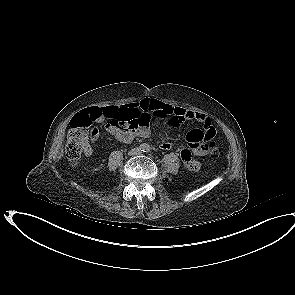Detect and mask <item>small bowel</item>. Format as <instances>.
<instances>
[{"label":"small bowel","mask_w":295,"mask_h":295,"mask_svg":"<svg viewBox=\"0 0 295 295\" xmlns=\"http://www.w3.org/2000/svg\"><path fill=\"white\" fill-rule=\"evenodd\" d=\"M107 108L113 109L114 119L106 122L105 129L116 140L122 143H130L137 137H149L151 134L149 125L151 115L166 119L168 124L172 127H177L182 123L193 120L200 122L203 125V128L190 130L186 135L188 148H182L180 150V156L183 163L191 169H197L200 166L196 157L207 154L208 145L206 142L213 139L216 134L211 119L205 113L177 107L157 99L144 98L139 102ZM103 109L104 108L100 107H92L86 110L85 114L92 121L102 123L105 121V117L102 114ZM124 119L137 120L139 122L138 128L130 130L120 127L118 122ZM98 135L99 133L96 129L92 139L96 140ZM160 147L167 150L172 147V144L169 141H162ZM92 152L93 151L89 146L85 150L87 155H91Z\"/></svg>","instance_id":"small-bowel-1"}]
</instances>
